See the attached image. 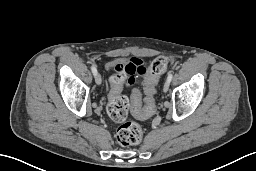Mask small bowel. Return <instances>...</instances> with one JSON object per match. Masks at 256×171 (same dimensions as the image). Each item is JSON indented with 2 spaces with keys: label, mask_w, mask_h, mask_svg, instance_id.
I'll list each match as a JSON object with an SVG mask.
<instances>
[{
  "label": "small bowel",
  "mask_w": 256,
  "mask_h": 171,
  "mask_svg": "<svg viewBox=\"0 0 256 171\" xmlns=\"http://www.w3.org/2000/svg\"><path fill=\"white\" fill-rule=\"evenodd\" d=\"M111 67L123 74V82L132 83L137 76H144L147 73L145 62L138 57H129L124 60L114 61ZM150 114L143 115L140 118H148Z\"/></svg>",
  "instance_id": "small-bowel-1"
}]
</instances>
